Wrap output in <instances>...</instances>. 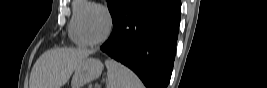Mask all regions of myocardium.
<instances>
[{"instance_id":"obj_1","label":"myocardium","mask_w":267,"mask_h":88,"mask_svg":"<svg viewBox=\"0 0 267 88\" xmlns=\"http://www.w3.org/2000/svg\"><path fill=\"white\" fill-rule=\"evenodd\" d=\"M92 9L100 10L105 15L106 22H107L105 34L103 35V37L101 39H99L97 41H91L87 38L85 31H84V26H83V22L87 16V14ZM112 27H113V19H112V15H111L109 9L103 5H100V4H93V6L86 9L82 13V15L80 16V20L78 23V28H79V33H80L81 38L86 43V45H90V46H97V45H101L102 43H104L108 39L109 35L111 34Z\"/></svg>"}]
</instances>
